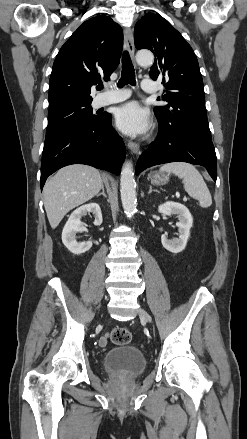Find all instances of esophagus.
I'll list each match as a JSON object with an SVG mask.
<instances>
[{"label":"esophagus","instance_id":"obj_1","mask_svg":"<svg viewBox=\"0 0 247 439\" xmlns=\"http://www.w3.org/2000/svg\"><path fill=\"white\" fill-rule=\"evenodd\" d=\"M124 45L126 50L128 51L129 55L133 58L134 57V37L133 32L131 28H126L124 30ZM128 148L130 149L131 153L138 154L140 152V146L138 143L129 141L128 142Z\"/></svg>","mask_w":247,"mask_h":439}]
</instances>
